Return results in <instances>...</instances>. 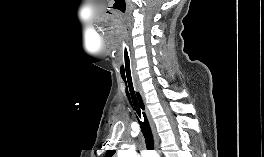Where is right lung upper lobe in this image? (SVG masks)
<instances>
[{
    "label": "right lung upper lobe",
    "instance_id": "cb5924a9",
    "mask_svg": "<svg viewBox=\"0 0 264 157\" xmlns=\"http://www.w3.org/2000/svg\"><path fill=\"white\" fill-rule=\"evenodd\" d=\"M114 152H115L114 150H108L105 157H112Z\"/></svg>",
    "mask_w": 264,
    "mask_h": 157
}]
</instances>
